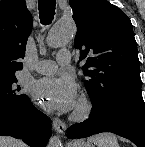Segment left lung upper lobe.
Here are the masks:
<instances>
[{
  "mask_svg": "<svg viewBox=\"0 0 145 147\" xmlns=\"http://www.w3.org/2000/svg\"><path fill=\"white\" fill-rule=\"evenodd\" d=\"M77 25L74 45L93 110L102 114L117 101L141 94L137 43L127 15L107 0H69Z\"/></svg>",
  "mask_w": 145,
  "mask_h": 147,
  "instance_id": "obj_1",
  "label": "left lung upper lobe"
}]
</instances>
